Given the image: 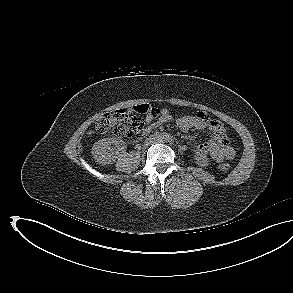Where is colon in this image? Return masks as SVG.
I'll return each mask as SVG.
<instances>
[{
    "label": "colon",
    "instance_id": "obj_1",
    "mask_svg": "<svg viewBox=\"0 0 293 293\" xmlns=\"http://www.w3.org/2000/svg\"><path fill=\"white\" fill-rule=\"evenodd\" d=\"M143 118L136 112L129 110H114L101 116L95 126L99 134H113L119 137H130L142 130ZM218 169L227 172L230 169L228 163H221Z\"/></svg>",
    "mask_w": 293,
    "mask_h": 293
}]
</instances>
